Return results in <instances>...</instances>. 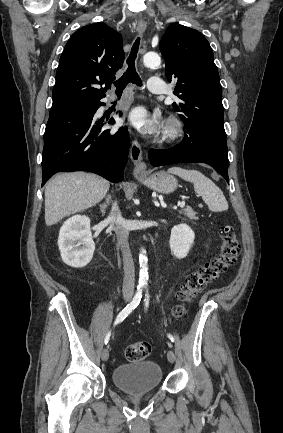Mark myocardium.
<instances>
[{
	"label": "myocardium",
	"mask_w": 283,
	"mask_h": 433,
	"mask_svg": "<svg viewBox=\"0 0 283 433\" xmlns=\"http://www.w3.org/2000/svg\"><path fill=\"white\" fill-rule=\"evenodd\" d=\"M185 121L176 115L169 116L166 120V134L170 142H177L185 133Z\"/></svg>",
	"instance_id": "f54148a6"
}]
</instances>
